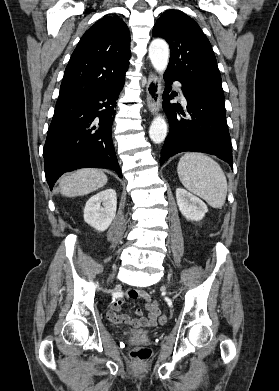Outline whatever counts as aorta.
<instances>
[{"label": "aorta", "instance_id": "762f6f07", "mask_svg": "<svg viewBox=\"0 0 279 391\" xmlns=\"http://www.w3.org/2000/svg\"><path fill=\"white\" fill-rule=\"evenodd\" d=\"M149 58L154 69L164 73L169 62V46L166 41L155 39L149 45ZM167 135V124L161 115L154 118L149 129L150 139L158 144L164 141Z\"/></svg>", "mask_w": 279, "mask_h": 391}]
</instances>
